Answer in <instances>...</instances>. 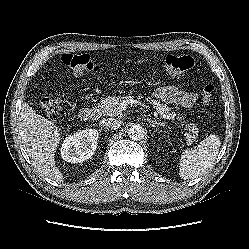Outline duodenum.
I'll list each match as a JSON object with an SVG mask.
<instances>
[{"mask_svg":"<svg viewBox=\"0 0 249 249\" xmlns=\"http://www.w3.org/2000/svg\"><path fill=\"white\" fill-rule=\"evenodd\" d=\"M79 116L84 121L94 120L98 117V110L93 107H85L80 110Z\"/></svg>","mask_w":249,"mask_h":249,"instance_id":"obj_1","label":"duodenum"}]
</instances>
